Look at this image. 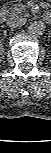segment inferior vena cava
Returning a JSON list of instances; mask_svg holds the SVG:
<instances>
[{
    "label": "inferior vena cava",
    "mask_w": 51,
    "mask_h": 153,
    "mask_svg": "<svg viewBox=\"0 0 51 153\" xmlns=\"http://www.w3.org/2000/svg\"><path fill=\"white\" fill-rule=\"evenodd\" d=\"M26 24V18L14 15L7 20V25L11 28H20Z\"/></svg>",
    "instance_id": "inferior-vena-cava-1"
}]
</instances>
